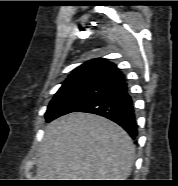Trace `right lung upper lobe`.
I'll use <instances>...</instances> for the list:
<instances>
[{
  "instance_id": "1",
  "label": "right lung upper lobe",
  "mask_w": 178,
  "mask_h": 186,
  "mask_svg": "<svg viewBox=\"0 0 178 186\" xmlns=\"http://www.w3.org/2000/svg\"><path fill=\"white\" fill-rule=\"evenodd\" d=\"M123 79L124 74L119 71L115 64L107 59L97 58L89 60L73 70L59 90L89 84L111 86Z\"/></svg>"
}]
</instances>
